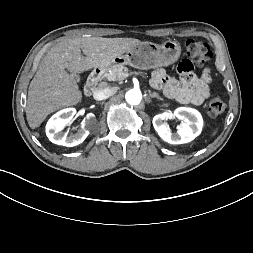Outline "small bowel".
<instances>
[{
	"mask_svg": "<svg viewBox=\"0 0 253 253\" xmlns=\"http://www.w3.org/2000/svg\"><path fill=\"white\" fill-rule=\"evenodd\" d=\"M176 71L181 75L179 80L168 76L163 69L155 70L150 80L151 85L170 99L201 105L210 94L208 85L211 81V70L205 68L201 75H196V63L189 58H183L177 64Z\"/></svg>",
	"mask_w": 253,
	"mask_h": 253,
	"instance_id": "c3829d8e",
	"label": "small bowel"
}]
</instances>
